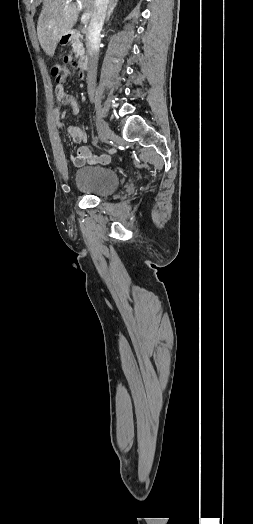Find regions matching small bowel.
I'll return each instance as SVG.
<instances>
[{
  "label": "small bowel",
  "mask_w": 253,
  "mask_h": 524,
  "mask_svg": "<svg viewBox=\"0 0 253 524\" xmlns=\"http://www.w3.org/2000/svg\"><path fill=\"white\" fill-rule=\"evenodd\" d=\"M58 105L53 109V118L56 122L58 131L63 141L68 142L73 140L75 143H85L87 141L86 131L78 126H66L64 123L65 110L64 108L69 106L74 115L79 114V105L76 98L65 92L64 88L59 90L55 89ZM113 153V149H110L107 154L100 156L93 155L90 149L86 146H81L76 154H70L69 158L74 166L81 167L85 164H108L110 162V155Z\"/></svg>",
  "instance_id": "c3829d8e"
}]
</instances>
